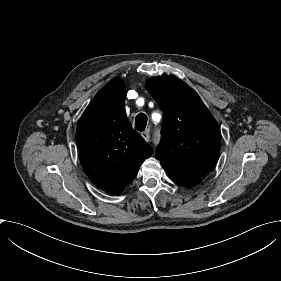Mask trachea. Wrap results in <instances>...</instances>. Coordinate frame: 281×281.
<instances>
[{"instance_id": "obj_1", "label": "trachea", "mask_w": 281, "mask_h": 281, "mask_svg": "<svg viewBox=\"0 0 281 281\" xmlns=\"http://www.w3.org/2000/svg\"><path fill=\"white\" fill-rule=\"evenodd\" d=\"M147 116L144 113H139L135 119V129L137 131H144L147 125Z\"/></svg>"}]
</instances>
